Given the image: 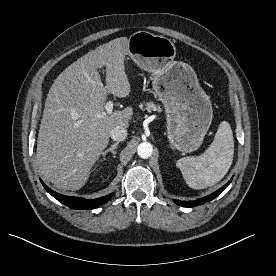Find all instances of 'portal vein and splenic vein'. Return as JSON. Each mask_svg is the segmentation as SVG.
Masks as SVG:
<instances>
[{
	"instance_id": "1",
	"label": "portal vein and splenic vein",
	"mask_w": 276,
	"mask_h": 276,
	"mask_svg": "<svg viewBox=\"0 0 276 276\" xmlns=\"http://www.w3.org/2000/svg\"><path fill=\"white\" fill-rule=\"evenodd\" d=\"M113 102L110 100L108 101L104 108H105V111L102 113V114H98L97 117H102L103 115H106V114H111L112 113V110H113Z\"/></svg>"
}]
</instances>
